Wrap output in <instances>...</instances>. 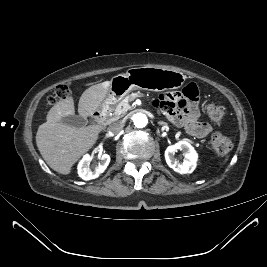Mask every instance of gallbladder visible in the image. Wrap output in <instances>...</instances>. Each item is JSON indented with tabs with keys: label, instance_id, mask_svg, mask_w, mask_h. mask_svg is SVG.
Segmentation results:
<instances>
[{
	"label": "gallbladder",
	"instance_id": "obj_1",
	"mask_svg": "<svg viewBox=\"0 0 267 267\" xmlns=\"http://www.w3.org/2000/svg\"><path fill=\"white\" fill-rule=\"evenodd\" d=\"M60 122L76 128H82L87 125L88 120L80 115H69L63 117Z\"/></svg>",
	"mask_w": 267,
	"mask_h": 267
}]
</instances>
